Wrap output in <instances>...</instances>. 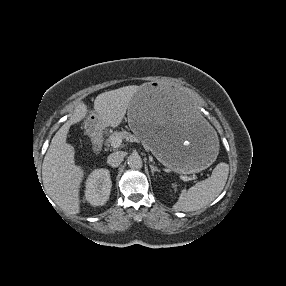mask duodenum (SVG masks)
<instances>
[{"label":"duodenum","mask_w":286,"mask_h":286,"mask_svg":"<svg viewBox=\"0 0 286 286\" xmlns=\"http://www.w3.org/2000/svg\"><path fill=\"white\" fill-rule=\"evenodd\" d=\"M92 145L94 152L96 153L101 152L103 148V138L101 134L97 133L93 136Z\"/></svg>","instance_id":"obj_1"}]
</instances>
